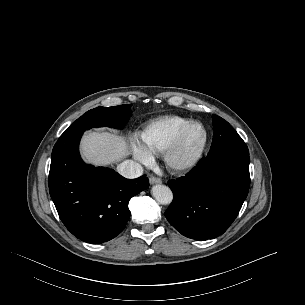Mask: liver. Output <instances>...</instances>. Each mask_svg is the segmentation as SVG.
Here are the masks:
<instances>
[{
  "label": "liver",
  "instance_id": "liver-1",
  "mask_svg": "<svg viewBox=\"0 0 305 305\" xmlns=\"http://www.w3.org/2000/svg\"><path fill=\"white\" fill-rule=\"evenodd\" d=\"M81 153L88 163L105 166L121 160L129 154V150L121 136L103 131L84 135Z\"/></svg>",
  "mask_w": 305,
  "mask_h": 305
}]
</instances>
